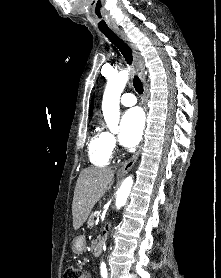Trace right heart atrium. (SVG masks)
<instances>
[{
    "label": "right heart atrium",
    "instance_id": "d8ad5b80",
    "mask_svg": "<svg viewBox=\"0 0 221 278\" xmlns=\"http://www.w3.org/2000/svg\"><path fill=\"white\" fill-rule=\"evenodd\" d=\"M107 134H108L109 143H110L111 147L114 148L115 143H116L115 138L111 133L107 132Z\"/></svg>",
    "mask_w": 221,
    "mask_h": 278
}]
</instances>
